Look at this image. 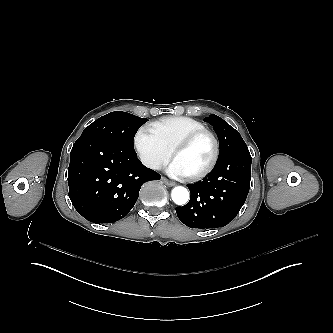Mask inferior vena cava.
<instances>
[{
  "mask_svg": "<svg viewBox=\"0 0 333 333\" xmlns=\"http://www.w3.org/2000/svg\"><path fill=\"white\" fill-rule=\"evenodd\" d=\"M152 168H153V169H156V170L161 169V164H159V163H154V164L152 165Z\"/></svg>",
  "mask_w": 333,
  "mask_h": 333,
  "instance_id": "inferior-vena-cava-1",
  "label": "inferior vena cava"
}]
</instances>
